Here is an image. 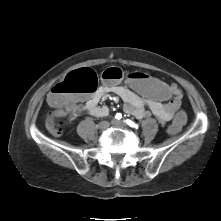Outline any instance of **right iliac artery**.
Returning a JSON list of instances; mask_svg holds the SVG:
<instances>
[{"label":"right iliac artery","instance_id":"82829eb1","mask_svg":"<svg viewBox=\"0 0 221 221\" xmlns=\"http://www.w3.org/2000/svg\"><path fill=\"white\" fill-rule=\"evenodd\" d=\"M115 118L118 119V120L121 119V118H122L121 113H117V114L115 115Z\"/></svg>","mask_w":221,"mask_h":221}]
</instances>
